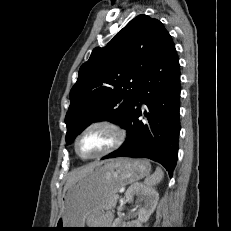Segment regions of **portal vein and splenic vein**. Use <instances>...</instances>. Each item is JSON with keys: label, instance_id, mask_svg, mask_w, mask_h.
<instances>
[{"label": "portal vein and splenic vein", "instance_id": "18ae733b", "mask_svg": "<svg viewBox=\"0 0 231 231\" xmlns=\"http://www.w3.org/2000/svg\"><path fill=\"white\" fill-rule=\"evenodd\" d=\"M118 198V195H115V199H117Z\"/></svg>", "mask_w": 231, "mask_h": 231}]
</instances>
